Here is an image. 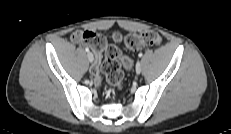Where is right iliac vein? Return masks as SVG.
<instances>
[{
	"label": "right iliac vein",
	"mask_w": 231,
	"mask_h": 134,
	"mask_svg": "<svg viewBox=\"0 0 231 134\" xmlns=\"http://www.w3.org/2000/svg\"><path fill=\"white\" fill-rule=\"evenodd\" d=\"M87 58H88L89 62H93V60H94V56H93V54L91 52H88Z\"/></svg>",
	"instance_id": "obj_1"
}]
</instances>
